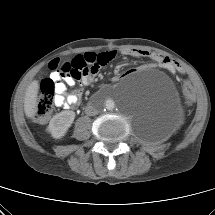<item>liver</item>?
<instances>
[{
    "label": "liver",
    "mask_w": 215,
    "mask_h": 215,
    "mask_svg": "<svg viewBox=\"0 0 215 215\" xmlns=\"http://www.w3.org/2000/svg\"><path fill=\"white\" fill-rule=\"evenodd\" d=\"M38 91L39 83L34 80L28 86L24 98V112L28 118H32L36 113Z\"/></svg>",
    "instance_id": "obj_1"
}]
</instances>
